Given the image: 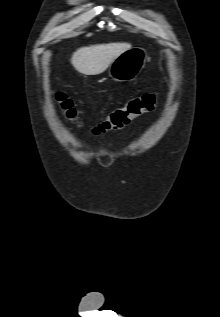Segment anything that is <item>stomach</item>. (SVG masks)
I'll list each match as a JSON object with an SVG mask.
<instances>
[{"label": "stomach", "mask_w": 220, "mask_h": 317, "mask_svg": "<svg viewBox=\"0 0 220 317\" xmlns=\"http://www.w3.org/2000/svg\"><path fill=\"white\" fill-rule=\"evenodd\" d=\"M146 59L147 54L143 48L132 47L110 64L109 76L118 82L133 81L145 67Z\"/></svg>", "instance_id": "1"}]
</instances>
